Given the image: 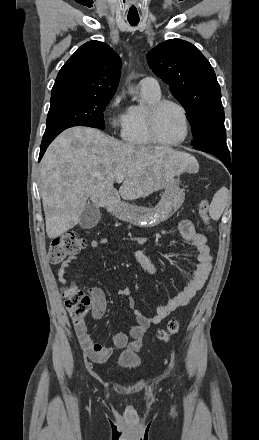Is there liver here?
Instances as JSON below:
<instances>
[{
  "label": "liver",
  "mask_w": 259,
  "mask_h": 440,
  "mask_svg": "<svg viewBox=\"0 0 259 440\" xmlns=\"http://www.w3.org/2000/svg\"><path fill=\"white\" fill-rule=\"evenodd\" d=\"M198 168L192 155L170 147L123 143L90 127L66 129L40 164L47 236L55 239L76 226L88 198L98 208L117 205L121 198L146 197ZM120 174L124 180L117 191Z\"/></svg>",
  "instance_id": "1"
}]
</instances>
